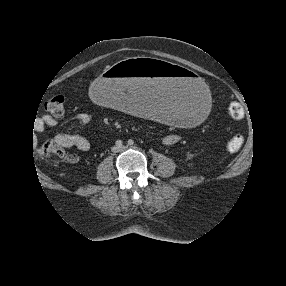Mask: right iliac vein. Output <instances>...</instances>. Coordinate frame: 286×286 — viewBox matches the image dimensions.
Wrapping results in <instances>:
<instances>
[{"label": "right iliac vein", "instance_id": "1", "mask_svg": "<svg viewBox=\"0 0 286 286\" xmlns=\"http://www.w3.org/2000/svg\"><path fill=\"white\" fill-rule=\"evenodd\" d=\"M113 150H114L115 152H117L118 149H117V148H114Z\"/></svg>", "mask_w": 286, "mask_h": 286}]
</instances>
